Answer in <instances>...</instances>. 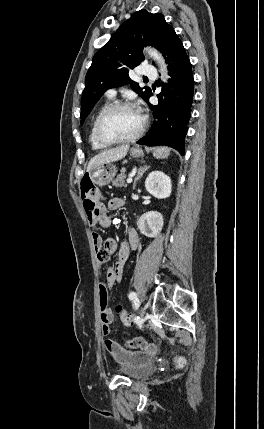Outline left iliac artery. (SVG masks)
<instances>
[{
  "label": "left iliac artery",
  "instance_id": "obj_1",
  "mask_svg": "<svg viewBox=\"0 0 264 429\" xmlns=\"http://www.w3.org/2000/svg\"><path fill=\"white\" fill-rule=\"evenodd\" d=\"M134 293H135V292H130V293H129V296H128V297H129V299H130V300H133Z\"/></svg>",
  "mask_w": 264,
  "mask_h": 429
}]
</instances>
